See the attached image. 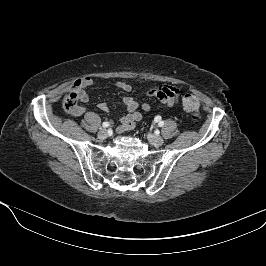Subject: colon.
<instances>
[{
    "mask_svg": "<svg viewBox=\"0 0 266 266\" xmlns=\"http://www.w3.org/2000/svg\"><path fill=\"white\" fill-rule=\"evenodd\" d=\"M78 102L79 94L74 88L64 97L63 107L67 112L72 113L78 107ZM182 105L185 111L191 113L194 120L200 117V102L195 95L186 94L182 99Z\"/></svg>",
    "mask_w": 266,
    "mask_h": 266,
    "instance_id": "colon-1",
    "label": "colon"
}]
</instances>
